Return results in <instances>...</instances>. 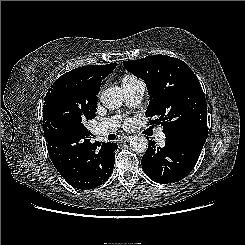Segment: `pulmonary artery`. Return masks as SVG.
Instances as JSON below:
<instances>
[{
	"label": "pulmonary artery",
	"mask_w": 245,
	"mask_h": 245,
	"mask_svg": "<svg viewBox=\"0 0 245 245\" xmlns=\"http://www.w3.org/2000/svg\"><path fill=\"white\" fill-rule=\"evenodd\" d=\"M122 86L126 103L131 107L137 106L143 98L145 83L142 80L137 79L129 84H123ZM118 126L119 118L117 116L110 117L97 125L95 134L98 136H106L113 133ZM156 138L158 142H163L165 140L163 131H159Z\"/></svg>",
	"instance_id": "1"
}]
</instances>
